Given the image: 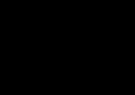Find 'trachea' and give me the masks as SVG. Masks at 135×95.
Segmentation results:
<instances>
[{
    "label": "trachea",
    "mask_w": 135,
    "mask_h": 95,
    "mask_svg": "<svg viewBox=\"0 0 135 95\" xmlns=\"http://www.w3.org/2000/svg\"><path fill=\"white\" fill-rule=\"evenodd\" d=\"M64 41V37L62 35H59L57 38H56V42L57 43H62Z\"/></svg>",
    "instance_id": "3493384b"
}]
</instances>
